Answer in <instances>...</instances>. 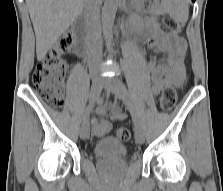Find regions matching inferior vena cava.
<instances>
[{
    "mask_svg": "<svg viewBox=\"0 0 223 191\" xmlns=\"http://www.w3.org/2000/svg\"><path fill=\"white\" fill-rule=\"evenodd\" d=\"M100 5L101 0H85L84 3L90 59L95 60L97 63L102 58V50L99 43L101 36Z\"/></svg>",
    "mask_w": 223,
    "mask_h": 191,
    "instance_id": "obj_1",
    "label": "inferior vena cava"
}]
</instances>
